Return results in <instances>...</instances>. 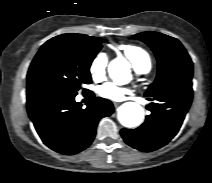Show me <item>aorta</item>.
Wrapping results in <instances>:
<instances>
[{
  "instance_id": "762f6f07",
  "label": "aorta",
  "mask_w": 212,
  "mask_h": 183,
  "mask_svg": "<svg viewBox=\"0 0 212 183\" xmlns=\"http://www.w3.org/2000/svg\"><path fill=\"white\" fill-rule=\"evenodd\" d=\"M129 70V63L124 58H116L109 64V74L115 79L120 72H127ZM144 119L143 108L135 102H126L120 106L118 110L119 122L128 128L139 126Z\"/></svg>"
}]
</instances>
